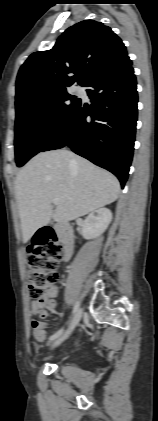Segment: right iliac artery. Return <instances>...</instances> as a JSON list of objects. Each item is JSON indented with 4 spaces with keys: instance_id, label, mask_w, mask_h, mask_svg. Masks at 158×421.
<instances>
[{
    "instance_id": "right-iliac-artery-1",
    "label": "right iliac artery",
    "mask_w": 158,
    "mask_h": 421,
    "mask_svg": "<svg viewBox=\"0 0 158 421\" xmlns=\"http://www.w3.org/2000/svg\"><path fill=\"white\" fill-rule=\"evenodd\" d=\"M78 309H79V302L77 301V302L75 303V305H74V308H73V314H75V313L78 311ZM63 330H64V329H60L59 331H57L55 334H53V335L49 338V340H54V339H56L57 337H59V336L62 334Z\"/></svg>"
}]
</instances>
